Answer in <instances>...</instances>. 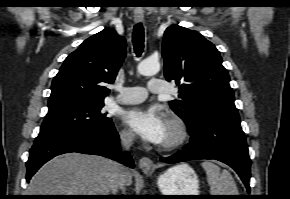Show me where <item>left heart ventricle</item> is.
I'll return each instance as SVG.
<instances>
[{"label": "left heart ventricle", "mask_w": 290, "mask_h": 199, "mask_svg": "<svg viewBox=\"0 0 290 199\" xmlns=\"http://www.w3.org/2000/svg\"><path fill=\"white\" fill-rule=\"evenodd\" d=\"M173 136H174V132H173L172 128L169 126V124H167L166 132H165V135H164V138H163L161 144L168 142L169 140H171L173 138Z\"/></svg>", "instance_id": "b2bd125f"}]
</instances>
